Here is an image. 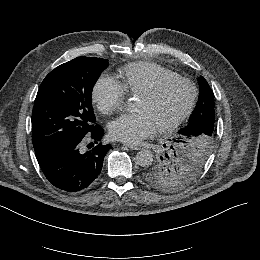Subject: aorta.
Here are the masks:
<instances>
[{
  "label": "aorta",
  "instance_id": "1",
  "mask_svg": "<svg viewBox=\"0 0 260 260\" xmlns=\"http://www.w3.org/2000/svg\"><path fill=\"white\" fill-rule=\"evenodd\" d=\"M136 162L141 167H148L153 163V154L148 149H142L136 154Z\"/></svg>",
  "mask_w": 260,
  "mask_h": 260
}]
</instances>
